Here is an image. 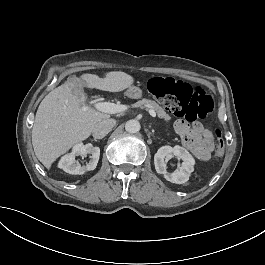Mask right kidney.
Segmentation results:
<instances>
[{
  "instance_id": "right-kidney-1",
  "label": "right kidney",
  "mask_w": 265,
  "mask_h": 265,
  "mask_svg": "<svg viewBox=\"0 0 265 265\" xmlns=\"http://www.w3.org/2000/svg\"><path fill=\"white\" fill-rule=\"evenodd\" d=\"M90 155V161L85 166H81L75 159L78 156L86 157ZM100 157V148L98 146H93L88 143L86 145L77 144L74 145L71 154L64 156L60 163L59 168L70 174H83L85 171L94 170L97 166Z\"/></svg>"
}]
</instances>
